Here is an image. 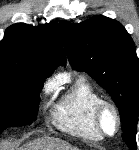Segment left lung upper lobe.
Wrapping results in <instances>:
<instances>
[{
    "label": "left lung upper lobe",
    "instance_id": "obj_1",
    "mask_svg": "<svg viewBox=\"0 0 139 150\" xmlns=\"http://www.w3.org/2000/svg\"><path fill=\"white\" fill-rule=\"evenodd\" d=\"M70 64L87 72L111 96L122 120V138L136 144L139 114V60L133 40L116 20L99 15L59 24Z\"/></svg>",
    "mask_w": 139,
    "mask_h": 150
}]
</instances>
